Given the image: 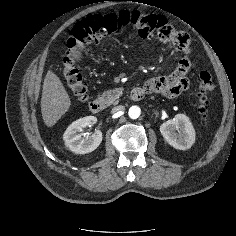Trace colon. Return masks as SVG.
<instances>
[{
	"instance_id": "1",
	"label": "colon",
	"mask_w": 236,
	"mask_h": 236,
	"mask_svg": "<svg viewBox=\"0 0 236 236\" xmlns=\"http://www.w3.org/2000/svg\"><path fill=\"white\" fill-rule=\"evenodd\" d=\"M133 26L142 39L158 38L165 42H182V34L175 31L161 15L140 11L123 10L118 13L93 15L82 19L74 25L68 38L69 52L63 59V79L74 97L85 102L88 90L83 77L75 66L72 52L85 46L98 43L101 39L110 37L121 29ZM187 88V82L178 83L179 91ZM214 83L208 71L199 74V90L197 93L198 107L201 114L206 113Z\"/></svg>"
}]
</instances>
